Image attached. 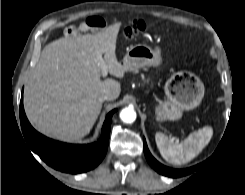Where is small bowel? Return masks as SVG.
Instances as JSON below:
<instances>
[{
    "label": "small bowel",
    "instance_id": "1",
    "mask_svg": "<svg viewBox=\"0 0 245 195\" xmlns=\"http://www.w3.org/2000/svg\"><path fill=\"white\" fill-rule=\"evenodd\" d=\"M107 26L106 21L100 16H89L79 25H70L65 29V35L69 37L76 36L80 32L101 31Z\"/></svg>",
    "mask_w": 245,
    "mask_h": 195
}]
</instances>
